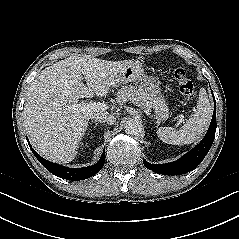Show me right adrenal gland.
I'll use <instances>...</instances> for the list:
<instances>
[{"label": "right adrenal gland", "instance_id": "obj_1", "mask_svg": "<svg viewBox=\"0 0 239 239\" xmlns=\"http://www.w3.org/2000/svg\"><path fill=\"white\" fill-rule=\"evenodd\" d=\"M92 122H93V121H92ZM94 122L96 123V126H97L98 124L102 123V122H99V121H98V122H97V121H94Z\"/></svg>", "mask_w": 239, "mask_h": 239}]
</instances>
